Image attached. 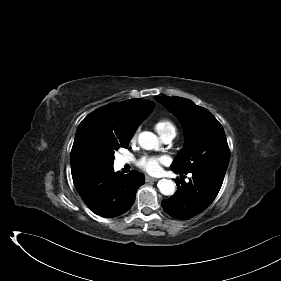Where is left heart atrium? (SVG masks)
Here are the masks:
<instances>
[{
	"mask_svg": "<svg viewBox=\"0 0 281 281\" xmlns=\"http://www.w3.org/2000/svg\"><path fill=\"white\" fill-rule=\"evenodd\" d=\"M168 159L166 157H143L140 159L138 165L140 168L150 174H157L161 170V165L166 164Z\"/></svg>",
	"mask_w": 281,
	"mask_h": 281,
	"instance_id": "left-heart-atrium-1",
	"label": "left heart atrium"
}]
</instances>
